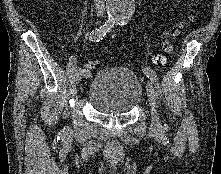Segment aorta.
<instances>
[{
  "label": "aorta",
  "instance_id": "1",
  "mask_svg": "<svg viewBox=\"0 0 221 174\" xmlns=\"http://www.w3.org/2000/svg\"><path fill=\"white\" fill-rule=\"evenodd\" d=\"M135 0H106L108 17L114 21H127L131 18Z\"/></svg>",
  "mask_w": 221,
  "mask_h": 174
}]
</instances>
